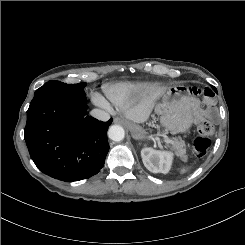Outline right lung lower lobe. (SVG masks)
Here are the masks:
<instances>
[{
    "mask_svg": "<svg viewBox=\"0 0 245 245\" xmlns=\"http://www.w3.org/2000/svg\"><path fill=\"white\" fill-rule=\"evenodd\" d=\"M111 122L87 115L84 90L46 89L34 95L29 106L24 139L44 174L73 182L87 179L103 167Z\"/></svg>",
    "mask_w": 245,
    "mask_h": 245,
    "instance_id": "right-lung-lower-lobe-1",
    "label": "right lung lower lobe"
}]
</instances>
